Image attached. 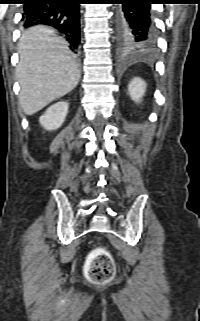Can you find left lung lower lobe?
<instances>
[{
  "label": "left lung lower lobe",
  "mask_w": 200,
  "mask_h": 321,
  "mask_svg": "<svg viewBox=\"0 0 200 321\" xmlns=\"http://www.w3.org/2000/svg\"><path fill=\"white\" fill-rule=\"evenodd\" d=\"M158 0H116V33L123 53L148 54L154 50L151 4Z\"/></svg>",
  "instance_id": "obj_1"
}]
</instances>
